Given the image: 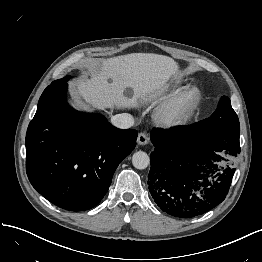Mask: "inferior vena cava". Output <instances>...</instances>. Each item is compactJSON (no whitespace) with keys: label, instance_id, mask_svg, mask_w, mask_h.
I'll return each instance as SVG.
<instances>
[{"label":"inferior vena cava","instance_id":"602c4592","mask_svg":"<svg viewBox=\"0 0 262 262\" xmlns=\"http://www.w3.org/2000/svg\"><path fill=\"white\" fill-rule=\"evenodd\" d=\"M111 123L120 129H127L134 125V118L131 114L122 113L112 116Z\"/></svg>","mask_w":262,"mask_h":262}]
</instances>
